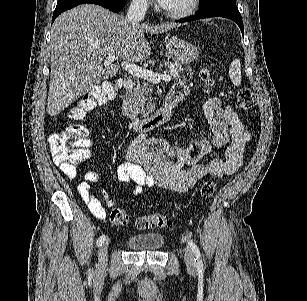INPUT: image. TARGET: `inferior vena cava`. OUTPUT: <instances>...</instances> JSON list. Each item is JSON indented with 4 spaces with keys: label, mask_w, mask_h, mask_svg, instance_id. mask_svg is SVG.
<instances>
[{
    "label": "inferior vena cava",
    "mask_w": 307,
    "mask_h": 301,
    "mask_svg": "<svg viewBox=\"0 0 307 301\" xmlns=\"http://www.w3.org/2000/svg\"><path fill=\"white\" fill-rule=\"evenodd\" d=\"M147 8L148 0H132L127 10L128 20H131L132 24H138L140 20H143Z\"/></svg>",
    "instance_id": "602c4592"
}]
</instances>
